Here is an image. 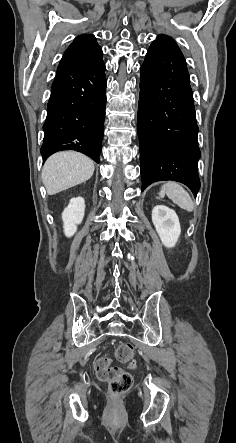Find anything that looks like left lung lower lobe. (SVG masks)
Instances as JSON below:
<instances>
[{"label":"left lung lower lobe","instance_id":"0a47b994","mask_svg":"<svg viewBox=\"0 0 236 443\" xmlns=\"http://www.w3.org/2000/svg\"><path fill=\"white\" fill-rule=\"evenodd\" d=\"M186 61L180 51L152 46L141 67L137 131L142 190L156 181L200 188L198 126Z\"/></svg>","mask_w":236,"mask_h":443}]
</instances>
